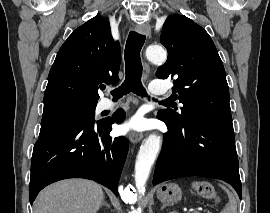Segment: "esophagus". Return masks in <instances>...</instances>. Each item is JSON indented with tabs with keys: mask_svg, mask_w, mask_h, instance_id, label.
Segmentation results:
<instances>
[{
	"mask_svg": "<svg viewBox=\"0 0 270 213\" xmlns=\"http://www.w3.org/2000/svg\"><path fill=\"white\" fill-rule=\"evenodd\" d=\"M136 31L142 35H146L147 37L151 36V27L147 23L136 25ZM143 133H135L131 132L129 134V139L132 143H138L142 140Z\"/></svg>",
	"mask_w": 270,
	"mask_h": 213,
	"instance_id": "34e87169",
	"label": "esophagus"
}]
</instances>
